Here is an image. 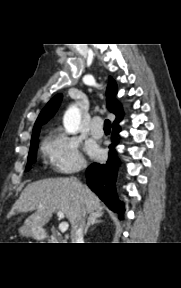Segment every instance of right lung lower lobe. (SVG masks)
Here are the masks:
<instances>
[{
    "mask_svg": "<svg viewBox=\"0 0 181 288\" xmlns=\"http://www.w3.org/2000/svg\"><path fill=\"white\" fill-rule=\"evenodd\" d=\"M121 131L119 125H112V144L109 146V158L104 164L93 163L87 168L86 177L88 186L100 197V199L115 213L120 219L124 218V203L117 197L115 181L117 170L120 165L116 158L115 145L117 144V134Z\"/></svg>",
    "mask_w": 181,
    "mask_h": 288,
    "instance_id": "right-lung-lower-lobe-1",
    "label": "right lung lower lobe"
}]
</instances>
